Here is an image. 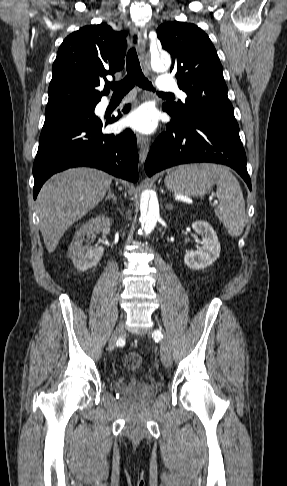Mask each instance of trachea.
Returning <instances> with one entry per match:
<instances>
[{"mask_svg": "<svg viewBox=\"0 0 287 486\" xmlns=\"http://www.w3.org/2000/svg\"><path fill=\"white\" fill-rule=\"evenodd\" d=\"M136 36H134V43ZM126 69L127 75L119 82L110 83L108 86L114 91V95H125L127 94L135 85L140 88L155 91L152 83L144 76L142 69L140 67V62L137 56L135 47L129 49L126 57ZM163 96H173L170 93H158Z\"/></svg>", "mask_w": 287, "mask_h": 486, "instance_id": "3493384b", "label": "trachea"}]
</instances>
